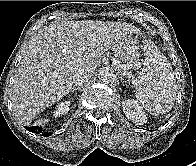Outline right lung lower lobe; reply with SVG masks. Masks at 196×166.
<instances>
[{
  "mask_svg": "<svg viewBox=\"0 0 196 166\" xmlns=\"http://www.w3.org/2000/svg\"><path fill=\"white\" fill-rule=\"evenodd\" d=\"M28 131L32 132V133H38L41 134L43 136H50L51 133L50 132H44V130L41 127H37V126H32V127H25Z\"/></svg>",
  "mask_w": 196,
  "mask_h": 166,
  "instance_id": "1",
  "label": "right lung lower lobe"
}]
</instances>
